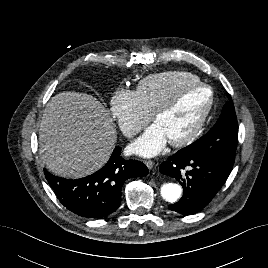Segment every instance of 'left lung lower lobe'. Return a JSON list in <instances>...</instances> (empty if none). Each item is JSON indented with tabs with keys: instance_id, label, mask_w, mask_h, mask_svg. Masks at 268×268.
Here are the masks:
<instances>
[{
	"instance_id": "0a47b994",
	"label": "left lung lower lobe",
	"mask_w": 268,
	"mask_h": 268,
	"mask_svg": "<svg viewBox=\"0 0 268 268\" xmlns=\"http://www.w3.org/2000/svg\"><path fill=\"white\" fill-rule=\"evenodd\" d=\"M232 167L217 158L178 151L160 166L162 174L175 178L183 187L182 198L168 208L184 215L201 211L223 186Z\"/></svg>"
}]
</instances>
